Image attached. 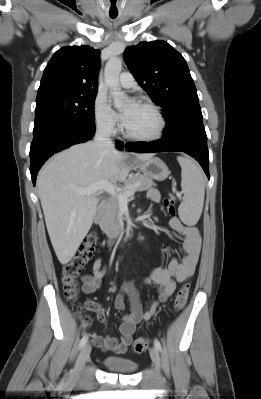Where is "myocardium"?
<instances>
[{
  "instance_id": "1",
  "label": "myocardium",
  "mask_w": 261,
  "mask_h": 399,
  "mask_svg": "<svg viewBox=\"0 0 261 399\" xmlns=\"http://www.w3.org/2000/svg\"><path fill=\"white\" fill-rule=\"evenodd\" d=\"M140 105H143L150 110L153 111V113L156 115L158 119V127L155 132L149 135H135L131 132L128 131L126 128L125 124H123V134L126 138L137 141V142H152L160 139L163 134L165 133L166 127H167V121L165 118V115L163 114L162 110L153 102L148 101V100H143L140 102Z\"/></svg>"
}]
</instances>
